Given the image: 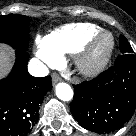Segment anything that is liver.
<instances>
[{
	"label": "liver",
	"instance_id": "obj_1",
	"mask_svg": "<svg viewBox=\"0 0 136 136\" xmlns=\"http://www.w3.org/2000/svg\"><path fill=\"white\" fill-rule=\"evenodd\" d=\"M12 64L13 56L11 49L0 44V79L9 73Z\"/></svg>",
	"mask_w": 136,
	"mask_h": 136
}]
</instances>
